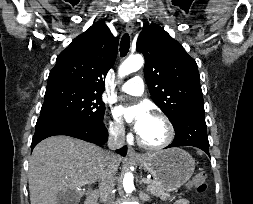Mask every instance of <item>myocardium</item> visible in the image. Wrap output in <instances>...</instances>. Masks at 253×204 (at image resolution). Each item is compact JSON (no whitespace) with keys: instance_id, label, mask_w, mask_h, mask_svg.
Wrapping results in <instances>:
<instances>
[{"instance_id":"obj_1","label":"myocardium","mask_w":253,"mask_h":204,"mask_svg":"<svg viewBox=\"0 0 253 204\" xmlns=\"http://www.w3.org/2000/svg\"><path fill=\"white\" fill-rule=\"evenodd\" d=\"M151 116L154 118L160 119L164 123V125L166 126L167 136H166L165 140L159 144H148L144 140H142V138L139 135H137V142L141 147H143L147 150L164 149L172 143V141L175 137L174 126H173L172 122L170 121V119L162 113L156 112V113L151 114Z\"/></svg>"}]
</instances>
